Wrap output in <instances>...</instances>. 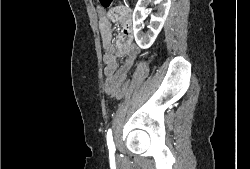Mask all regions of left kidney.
<instances>
[{"label": "left kidney", "instance_id": "obj_1", "mask_svg": "<svg viewBox=\"0 0 250 169\" xmlns=\"http://www.w3.org/2000/svg\"><path fill=\"white\" fill-rule=\"evenodd\" d=\"M148 2H154V4H159V6L156 16H151L150 18L148 28H150L151 34H143V16L147 12L146 6ZM170 6L171 0H138L132 18L135 40L140 48H149L153 44L168 16Z\"/></svg>", "mask_w": 250, "mask_h": 169}]
</instances>
